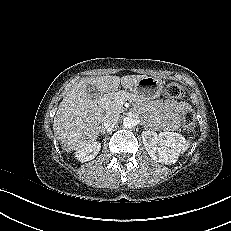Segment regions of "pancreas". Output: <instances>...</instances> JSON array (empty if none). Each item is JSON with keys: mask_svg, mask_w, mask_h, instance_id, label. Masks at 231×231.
<instances>
[{"mask_svg": "<svg viewBox=\"0 0 231 231\" xmlns=\"http://www.w3.org/2000/svg\"><path fill=\"white\" fill-rule=\"evenodd\" d=\"M139 101V99L131 93L119 91L104 98L102 106L107 114L123 112V103L125 101Z\"/></svg>", "mask_w": 231, "mask_h": 231, "instance_id": "1", "label": "pancreas"}]
</instances>
